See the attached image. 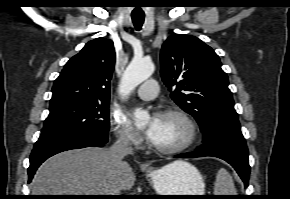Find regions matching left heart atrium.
I'll use <instances>...</instances> for the list:
<instances>
[{
    "instance_id": "1",
    "label": "left heart atrium",
    "mask_w": 290,
    "mask_h": 199,
    "mask_svg": "<svg viewBox=\"0 0 290 199\" xmlns=\"http://www.w3.org/2000/svg\"><path fill=\"white\" fill-rule=\"evenodd\" d=\"M157 121H158L157 117L153 118L145 130V133H146L147 137L150 139V141L155 135Z\"/></svg>"
}]
</instances>
